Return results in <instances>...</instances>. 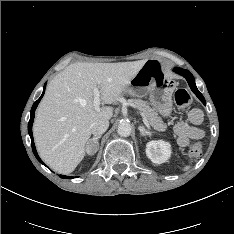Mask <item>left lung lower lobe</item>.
<instances>
[{
    "mask_svg": "<svg viewBox=\"0 0 234 234\" xmlns=\"http://www.w3.org/2000/svg\"><path fill=\"white\" fill-rule=\"evenodd\" d=\"M174 71L186 78L191 90L203 102V104H205L206 102H205L203 95L198 91V89L195 85V79H194L193 75L189 71H187L185 69H181V68H174Z\"/></svg>",
    "mask_w": 234,
    "mask_h": 234,
    "instance_id": "obj_1",
    "label": "left lung lower lobe"
}]
</instances>
